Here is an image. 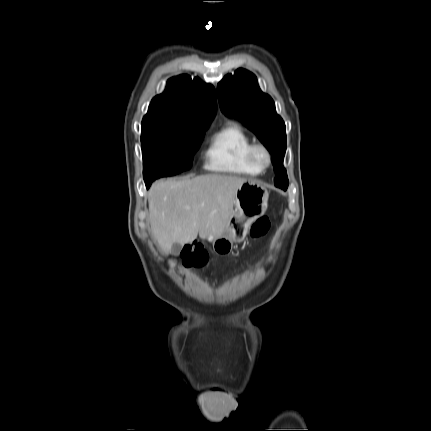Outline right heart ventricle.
I'll return each mask as SVG.
<instances>
[{
    "label": "right heart ventricle",
    "mask_w": 431,
    "mask_h": 431,
    "mask_svg": "<svg viewBox=\"0 0 431 431\" xmlns=\"http://www.w3.org/2000/svg\"><path fill=\"white\" fill-rule=\"evenodd\" d=\"M253 144L247 132L237 124H228L214 133L205 154V167L210 171L244 176L259 175L262 170L248 159Z\"/></svg>",
    "instance_id": "obj_1"
}]
</instances>
